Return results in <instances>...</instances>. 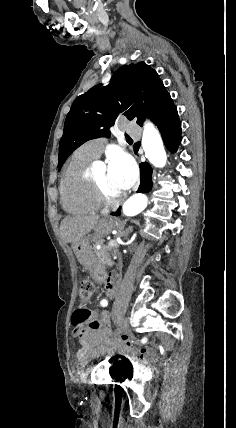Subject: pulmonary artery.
<instances>
[{
	"mask_svg": "<svg viewBox=\"0 0 236 428\" xmlns=\"http://www.w3.org/2000/svg\"><path fill=\"white\" fill-rule=\"evenodd\" d=\"M91 144H92L91 142L88 144H85V152L92 159H97L102 153L104 146L102 145L93 146Z\"/></svg>",
	"mask_w": 236,
	"mask_h": 428,
	"instance_id": "1",
	"label": "pulmonary artery"
}]
</instances>
